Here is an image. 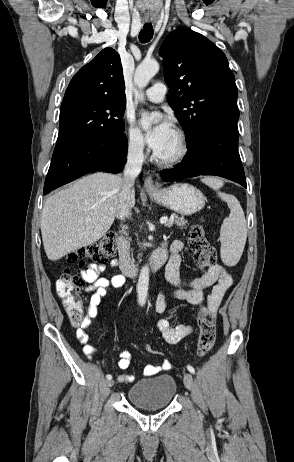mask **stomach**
<instances>
[{
  "label": "stomach",
  "instance_id": "1",
  "mask_svg": "<svg viewBox=\"0 0 294 462\" xmlns=\"http://www.w3.org/2000/svg\"><path fill=\"white\" fill-rule=\"evenodd\" d=\"M158 204L181 215H192L205 205V197L200 190L185 183L174 184L156 192H148Z\"/></svg>",
  "mask_w": 294,
  "mask_h": 462
}]
</instances>
